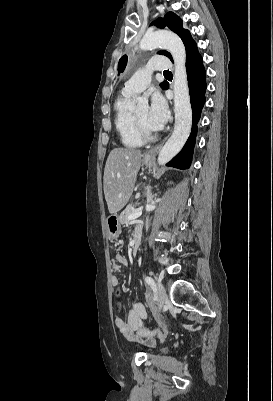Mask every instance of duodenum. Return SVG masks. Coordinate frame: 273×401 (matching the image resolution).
<instances>
[{"mask_svg":"<svg viewBox=\"0 0 273 401\" xmlns=\"http://www.w3.org/2000/svg\"><path fill=\"white\" fill-rule=\"evenodd\" d=\"M140 243H141V234L137 233V234L134 235V238H133V241H132V252H133V254L137 253V251L139 249V246H140Z\"/></svg>","mask_w":273,"mask_h":401,"instance_id":"410a0bca","label":"duodenum"}]
</instances>
